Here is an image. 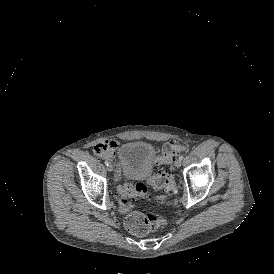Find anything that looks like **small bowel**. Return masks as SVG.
I'll return each mask as SVG.
<instances>
[{
    "label": "small bowel",
    "mask_w": 274,
    "mask_h": 274,
    "mask_svg": "<svg viewBox=\"0 0 274 274\" xmlns=\"http://www.w3.org/2000/svg\"><path fill=\"white\" fill-rule=\"evenodd\" d=\"M119 144L115 140H105L98 142L93 147V152L96 156L106 159L113 160L116 157Z\"/></svg>",
    "instance_id": "c3829d8e"
}]
</instances>
